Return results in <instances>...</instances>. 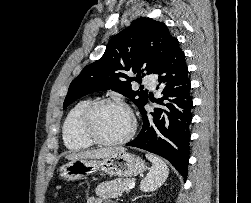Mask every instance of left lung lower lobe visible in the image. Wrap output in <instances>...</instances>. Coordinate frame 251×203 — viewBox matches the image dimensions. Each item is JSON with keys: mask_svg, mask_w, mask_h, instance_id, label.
<instances>
[{"mask_svg": "<svg viewBox=\"0 0 251 203\" xmlns=\"http://www.w3.org/2000/svg\"><path fill=\"white\" fill-rule=\"evenodd\" d=\"M154 74L158 76L159 85L162 84L163 94L155 102L162 107L154 108L151 113H147L144 106L140 109L143 115L142 130L126 145L164 157L186 178L193 102L185 55L177 39Z\"/></svg>", "mask_w": 251, "mask_h": 203, "instance_id": "0a47b994", "label": "left lung lower lobe"}]
</instances>
